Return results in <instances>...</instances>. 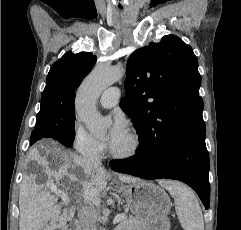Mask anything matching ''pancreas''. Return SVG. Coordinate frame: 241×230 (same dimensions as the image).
<instances>
[{
	"label": "pancreas",
	"mask_w": 241,
	"mask_h": 230,
	"mask_svg": "<svg viewBox=\"0 0 241 230\" xmlns=\"http://www.w3.org/2000/svg\"><path fill=\"white\" fill-rule=\"evenodd\" d=\"M116 230H145V224L133 216H126Z\"/></svg>",
	"instance_id": "1"
}]
</instances>
